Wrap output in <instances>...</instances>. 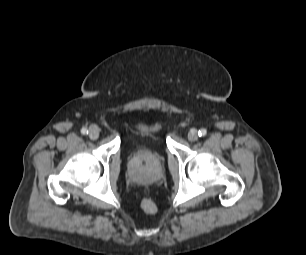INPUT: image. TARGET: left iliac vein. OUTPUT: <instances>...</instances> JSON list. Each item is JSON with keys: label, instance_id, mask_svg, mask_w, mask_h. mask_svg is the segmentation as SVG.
I'll return each mask as SVG.
<instances>
[{"label": "left iliac vein", "instance_id": "1", "mask_svg": "<svg viewBox=\"0 0 306 255\" xmlns=\"http://www.w3.org/2000/svg\"><path fill=\"white\" fill-rule=\"evenodd\" d=\"M188 140L193 142L196 141L198 139V132L196 129H191L188 133Z\"/></svg>", "mask_w": 306, "mask_h": 255}]
</instances>
